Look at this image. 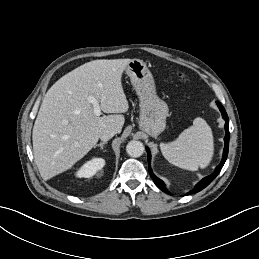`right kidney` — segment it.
I'll use <instances>...</instances> for the list:
<instances>
[{
    "instance_id": "right-kidney-1",
    "label": "right kidney",
    "mask_w": 259,
    "mask_h": 259,
    "mask_svg": "<svg viewBox=\"0 0 259 259\" xmlns=\"http://www.w3.org/2000/svg\"><path fill=\"white\" fill-rule=\"evenodd\" d=\"M105 165V160L102 158H94L86 162L76 173L79 178H90L94 176Z\"/></svg>"
}]
</instances>
